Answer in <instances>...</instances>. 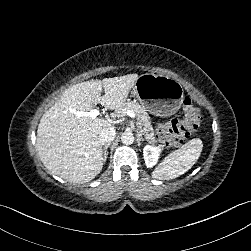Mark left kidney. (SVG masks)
Segmentation results:
<instances>
[{"label":"left kidney","mask_w":251,"mask_h":251,"mask_svg":"<svg viewBox=\"0 0 251 251\" xmlns=\"http://www.w3.org/2000/svg\"><path fill=\"white\" fill-rule=\"evenodd\" d=\"M163 148L155 145H146L143 148V157L145 160V164L148 168H152L158 162L160 153L162 152Z\"/></svg>","instance_id":"5707ae66"}]
</instances>
